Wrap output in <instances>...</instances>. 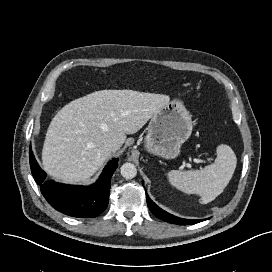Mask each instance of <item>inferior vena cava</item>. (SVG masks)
Instances as JSON below:
<instances>
[{
    "label": "inferior vena cava",
    "mask_w": 272,
    "mask_h": 272,
    "mask_svg": "<svg viewBox=\"0 0 272 272\" xmlns=\"http://www.w3.org/2000/svg\"><path fill=\"white\" fill-rule=\"evenodd\" d=\"M105 148L109 151H116L119 149V144L115 140H108L104 144Z\"/></svg>",
    "instance_id": "obj_1"
}]
</instances>
